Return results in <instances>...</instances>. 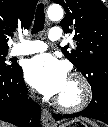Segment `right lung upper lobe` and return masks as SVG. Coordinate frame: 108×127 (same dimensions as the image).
Masks as SVG:
<instances>
[{"instance_id":"1","label":"right lung upper lobe","mask_w":108,"mask_h":127,"mask_svg":"<svg viewBox=\"0 0 108 127\" xmlns=\"http://www.w3.org/2000/svg\"><path fill=\"white\" fill-rule=\"evenodd\" d=\"M36 3L37 0H0V50H8V36L31 25Z\"/></svg>"}]
</instances>
